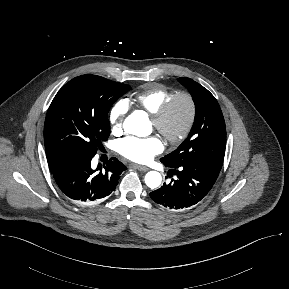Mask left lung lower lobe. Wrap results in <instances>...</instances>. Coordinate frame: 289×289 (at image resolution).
Wrapping results in <instances>:
<instances>
[{
  "label": "left lung lower lobe",
  "instance_id": "left-lung-lower-lobe-1",
  "mask_svg": "<svg viewBox=\"0 0 289 289\" xmlns=\"http://www.w3.org/2000/svg\"><path fill=\"white\" fill-rule=\"evenodd\" d=\"M162 162V161H161ZM170 167L168 175L175 174L169 184L150 193L151 199L171 210H182L194 206L204 199L212 189L221 167L209 164H184Z\"/></svg>",
  "mask_w": 289,
  "mask_h": 289
}]
</instances>
